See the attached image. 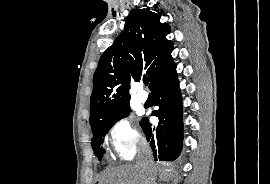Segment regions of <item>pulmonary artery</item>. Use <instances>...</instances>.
Returning <instances> with one entry per match:
<instances>
[{
	"mask_svg": "<svg viewBox=\"0 0 270 184\" xmlns=\"http://www.w3.org/2000/svg\"><path fill=\"white\" fill-rule=\"evenodd\" d=\"M147 98H148V95H147V93L145 91L139 90L137 92V99H138V101L144 103V102L147 101Z\"/></svg>",
	"mask_w": 270,
	"mask_h": 184,
	"instance_id": "obj_1",
	"label": "pulmonary artery"
}]
</instances>
